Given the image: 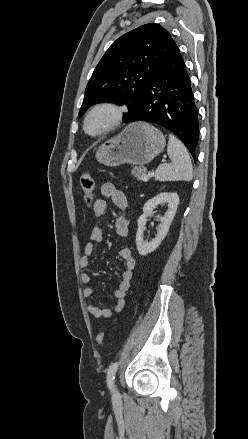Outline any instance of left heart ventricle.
<instances>
[{
	"mask_svg": "<svg viewBox=\"0 0 248 439\" xmlns=\"http://www.w3.org/2000/svg\"><path fill=\"white\" fill-rule=\"evenodd\" d=\"M110 115L108 112H99L92 116L88 122V129L90 132H97L103 128L108 122Z\"/></svg>",
	"mask_w": 248,
	"mask_h": 439,
	"instance_id": "obj_1",
	"label": "left heart ventricle"
}]
</instances>
